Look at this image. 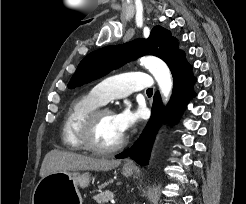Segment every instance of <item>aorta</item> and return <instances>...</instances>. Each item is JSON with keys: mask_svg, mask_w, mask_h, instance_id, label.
Here are the masks:
<instances>
[{"mask_svg": "<svg viewBox=\"0 0 246 204\" xmlns=\"http://www.w3.org/2000/svg\"><path fill=\"white\" fill-rule=\"evenodd\" d=\"M158 83L162 96L167 99L171 95L173 80L171 72L164 61L155 56H145L140 59Z\"/></svg>", "mask_w": 246, "mask_h": 204, "instance_id": "obj_1", "label": "aorta"}]
</instances>
